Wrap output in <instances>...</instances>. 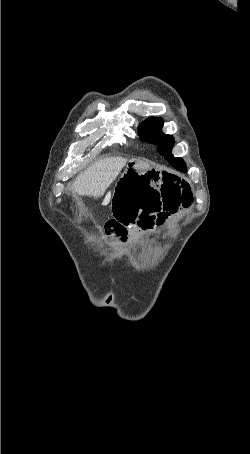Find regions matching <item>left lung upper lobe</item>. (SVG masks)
Returning <instances> with one entry per match:
<instances>
[{
    "label": "left lung upper lobe",
    "instance_id": "left-lung-upper-lobe-1",
    "mask_svg": "<svg viewBox=\"0 0 250 454\" xmlns=\"http://www.w3.org/2000/svg\"><path fill=\"white\" fill-rule=\"evenodd\" d=\"M163 121L161 118L150 117L139 126V136L142 140L156 145L158 152L165 157L167 161L176 159L171 150L174 144V138L162 133Z\"/></svg>",
    "mask_w": 250,
    "mask_h": 454
}]
</instances>
